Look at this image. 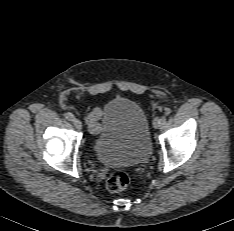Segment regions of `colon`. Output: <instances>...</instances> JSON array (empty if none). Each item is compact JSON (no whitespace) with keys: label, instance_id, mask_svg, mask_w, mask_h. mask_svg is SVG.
<instances>
[{"label":"colon","instance_id":"obj_1","mask_svg":"<svg viewBox=\"0 0 234 231\" xmlns=\"http://www.w3.org/2000/svg\"><path fill=\"white\" fill-rule=\"evenodd\" d=\"M130 182L129 175L123 170H113L107 177L106 187L111 192L124 190Z\"/></svg>","mask_w":234,"mask_h":231}]
</instances>
